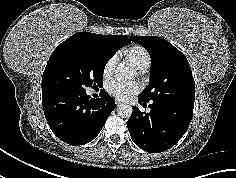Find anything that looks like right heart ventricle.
<instances>
[{
  "instance_id": "right-heart-ventricle-1",
  "label": "right heart ventricle",
  "mask_w": 236,
  "mask_h": 178,
  "mask_svg": "<svg viewBox=\"0 0 236 178\" xmlns=\"http://www.w3.org/2000/svg\"><path fill=\"white\" fill-rule=\"evenodd\" d=\"M124 57L137 69H146L151 64L149 52L142 46L134 45L123 52Z\"/></svg>"
}]
</instances>
